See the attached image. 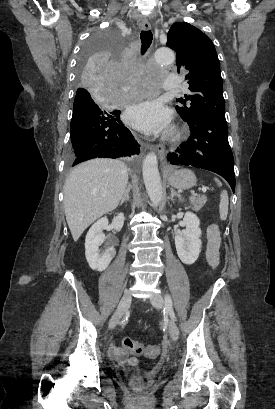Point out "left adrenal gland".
<instances>
[{"instance_id":"left-adrenal-gland-1","label":"left adrenal gland","mask_w":275,"mask_h":409,"mask_svg":"<svg viewBox=\"0 0 275 409\" xmlns=\"http://www.w3.org/2000/svg\"><path fill=\"white\" fill-rule=\"evenodd\" d=\"M170 190H171V194H170L169 198H171V200H175L174 196H178L179 200H181L180 192H176V190H174V188H170Z\"/></svg>"}]
</instances>
